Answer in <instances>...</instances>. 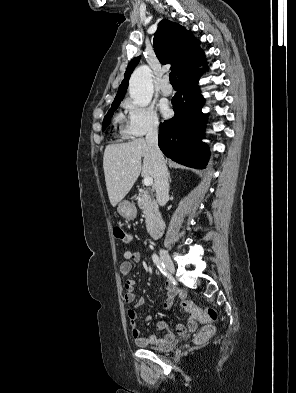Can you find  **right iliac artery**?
<instances>
[{
    "instance_id": "82829eb1",
    "label": "right iliac artery",
    "mask_w": 296,
    "mask_h": 393,
    "mask_svg": "<svg viewBox=\"0 0 296 393\" xmlns=\"http://www.w3.org/2000/svg\"><path fill=\"white\" fill-rule=\"evenodd\" d=\"M152 259H153V262H154V264L157 266V268L161 271V273L164 275V276H166L167 275V272H166V269H165V265H164V263L161 261V259L158 257V255L157 254H153L152 255Z\"/></svg>"
}]
</instances>
